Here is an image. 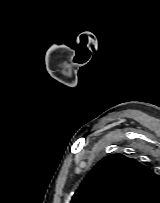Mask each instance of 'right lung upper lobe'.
<instances>
[{
    "instance_id": "right-lung-upper-lobe-1",
    "label": "right lung upper lobe",
    "mask_w": 160,
    "mask_h": 203,
    "mask_svg": "<svg viewBox=\"0 0 160 203\" xmlns=\"http://www.w3.org/2000/svg\"><path fill=\"white\" fill-rule=\"evenodd\" d=\"M159 196V176L136 159L117 153L96 164L70 203H150Z\"/></svg>"
}]
</instances>
